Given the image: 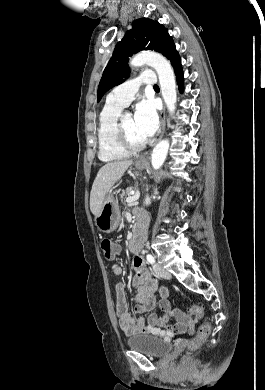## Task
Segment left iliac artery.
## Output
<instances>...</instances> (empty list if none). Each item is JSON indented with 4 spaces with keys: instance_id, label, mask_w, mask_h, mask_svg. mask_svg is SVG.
I'll return each mask as SVG.
<instances>
[{
    "instance_id": "1",
    "label": "left iliac artery",
    "mask_w": 265,
    "mask_h": 390,
    "mask_svg": "<svg viewBox=\"0 0 265 390\" xmlns=\"http://www.w3.org/2000/svg\"><path fill=\"white\" fill-rule=\"evenodd\" d=\"M147 261L150 264H153L155 262V259H154V257L151 254H147Z\"/></svg>"
}]
</instances>
